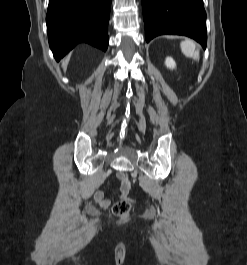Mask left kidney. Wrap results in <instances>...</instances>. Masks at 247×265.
Segmentation results:
<instances>
[{"mask_svg": "<svg viewBox=\"0 0 247 265\" xmlns=\"http://www.w3.org/2000/svg\"><path fill=\"white\" fill-rule=\"evenodd\" d=\"M165 65L170 69H174L176 67V63L171 57L166 58Z\"/></svg>", "mask_w": 247, "mask_h": 265, "instance_id": "left-kidney-1", "label": "left kidney"}]
</instances>
